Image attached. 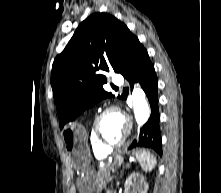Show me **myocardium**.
I'll return each mask as SVG.
<instances>
[{
    "label": "myocardium",
    "mask_w": 221,
    "mask_h": 193,
    "mask_svg": "<svg viewBox=\"0 0 221 193\" xmlns=\"http://www.w3.org/2000/svg\"><path fill=\"white\" fill-rule=\"evenodd\" d=\"M119 112V109L115 106H108V107H105L104 109H102L99 114L95 117L94 119V122H93V125H92V132H93V136L95 138V140L105 149H107L108 151L110 149H113V148H117V147H120L121 145L124 144V142L126 141V139L128 138L129 136V133H130V130H131V124L129 122V120L125 117V121H126V130L123 134V136L117 141V142H108L107 140H105L103 138V136L101 135L100 133V122L102 120V118L109 112Z\"/></svg>",
    "instance_id": "myocardium-1"
}]
</instances>
